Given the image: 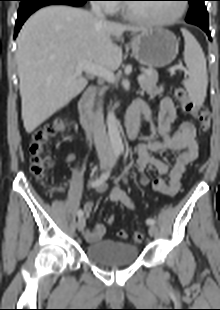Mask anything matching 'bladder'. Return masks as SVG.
<instances>
[{
	"label": "bladder",
	"instance_id": "1",
	"mask_svg": "<svg viewBox=\"0 0 220 310\" xmlns=\"http://www.w3.org/2000/svg\"><path fill=\"white\" fill-rule=\"evenodd\" d=\"M138 247L126 242L102 239L86 247V256L93 262L105 266H123L138 258Z\"/></svg>",
	"mask_w": 220,
	"mask_h": 310
}]
</instances>
